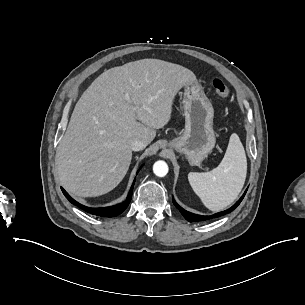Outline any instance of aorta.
I'll return each instance as SVG.
<instances>
[{"instance_id":"aorta-1","label":"aorta","mask_w":305,"mask_h":305,"mask_svg":"<svg viewBox=\"0 0 305 305\" xmlns=\"http://www.w3.org/2000/svg\"><path fill=\"white\" fill-rule=\"evenodd\" d=\"M153 172L158 177H164L168 173V165L165 161L159 160L153 165Z\"/></svg>"}]
</instances>
